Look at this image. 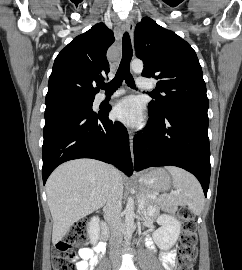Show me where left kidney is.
I'll return each mask as SVG.
<instances>
[{
    "instance_id": "5707ae66",
    "label": "left kidney",
    "mask_w": 242,
    "mask_h": 270,
    "mask_svg": "<svg viewBox=\"0 0 242 270\" xmlns=\"http://www.w3.org/2000/svg\"><path fill=\"white\" fill-rule=\"evenodd\" d=\"M161 227L153 233V240L162 250H169L176 243L181 233V223L171 215L158 218Z\"/></svg>"
}]
</instances>
